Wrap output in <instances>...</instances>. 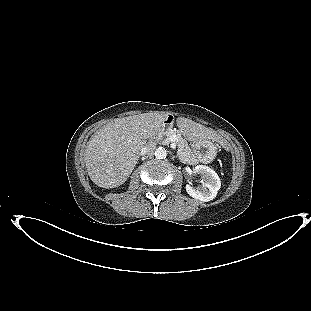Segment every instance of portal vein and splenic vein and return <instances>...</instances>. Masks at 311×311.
<instances>
[{
	"mask_svg": "<svg viewBox=\"0 0 311 311\" xmlns=\"http://www.w3.org/2000/svg\"><path fill=\"white\" fill-rule=\"evenodd\" d=\"M169 141H171V142H173V141H177L178 140V138H177V136L176 135H171L170 137H169V139H168Z\"/></svg>",
	"mask_w": 311,
	"mask_h": 311,
	"instance_id": "18ae733b",
	"label": "portal vein and splenic vein"
}]
</instances>
